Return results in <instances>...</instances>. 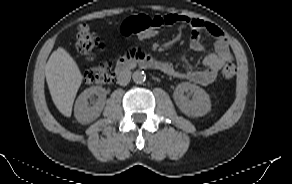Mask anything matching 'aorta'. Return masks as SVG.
Instances as JSON below:
<instances>
[{"mask_svg":"<svg viewBox=\"0 0 292 184\" xmlns=\"http://www.w3.org/2000/svg\"><path fill=\"white\" fill-rule=\"evenodd\" d=\"M132 79L135 83L141 84L146 80V75L143 71L136 70L132 75Z\"/></svg>","mask_w":292,"mask_h":184,"instance_id":"762f6f07","label":"aorta"}]
</instances>
